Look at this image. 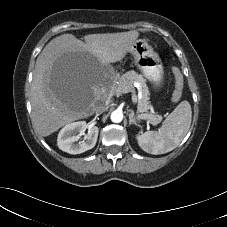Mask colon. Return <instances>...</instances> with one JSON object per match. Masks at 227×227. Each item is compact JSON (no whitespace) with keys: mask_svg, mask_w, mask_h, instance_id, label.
Instances as JSON below:
<instances>
[{"mask_svg":"<svg viewBox=\"0 0 227 227\" xmlns=\"http://www.w3.org/2000/svg\"><path fill=\"white\" fill-rule=\"evenodd\" d=\"M172 72L175 77V91L173 93V101H178L182 94L183 78L179 69L173 68Z\"/></svg>","mask_w":227,"mask_h":227,"instance_id":"1","label":"colon"}]
</instances>
